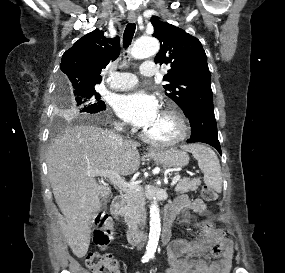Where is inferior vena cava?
<instances>
[{"mask_svg": "<svg viewBox=\"0 0 285 273\" xmlns=\"http://www.w3.org/2000/svg\"><path fill=\"white\" fill-rule=\"evenodd\" d=\"M122 130H123V125L122 124H115V130L114 131H108V134H109V136L111 138V142H112L113 145H121L122 144V142H123L122 137L115 132V131L120 132ZM140 212H141V215L143 217V219L141 221L142 222L141 225H142V229H143L144 226H145V210L142 208L140 210Z\"/></svg>", "mask_w": 285, "mask_h": 273, "instance_id": "602c4592", "label": "inferior vena cava"}]
</instances>
